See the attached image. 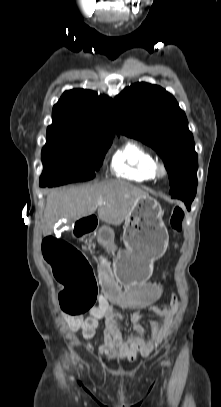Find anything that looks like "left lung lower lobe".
I'll use <instances>...</instances> for the list:
<instances>
[{
	"instance_id": "1",
	"label": "left lung lower lobe",
	"mask_w": 221,
	"mask_h": 407,
	"mask_svg": "<svg viewBox=\"0 0 221 407\" xmlns=\"http://www.w3.org/2000/svg\"><path fill=\"white\" fill-rule=\"evenodd\" d=\"M196 187L197 186L179 190L172 194V198H177V199L184 201L187 209L190 210L191 203L196 194V190H197Z\"/></svg>"
}]
</instances>
